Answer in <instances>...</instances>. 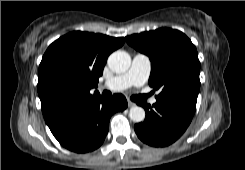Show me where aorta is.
Masks as SVG:
<instances>
[{"label":"aorta","mask_w":245,"mask_h":170,"mask_svg":"<svg viewBox=\"0 0 245 170\" xmlns=\"http://www.w3.org/2000/svg\"><path fill=\"white\" fill-rule=\"evenodd\" d=\"M130 65V55L125 51H115L108 58V66L115 73L126 72ZM129 117L133 122H142L145 119V110L142 107L134 106L129 111Z\"/></svg>","instance_id":"762f6f07"}]
</instances>
